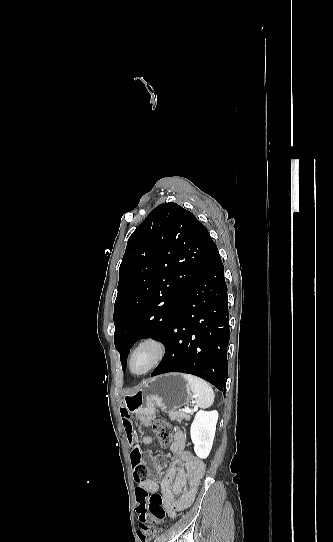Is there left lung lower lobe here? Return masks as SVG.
Returning a JSON list of instances; mask_svg holds the SVG:
<instances>
[{"mask_svg": "<svg viewBox=\"0 0 333 542\" xmlns=\"http://www.w3.org/2000/svg\"><path fill=\"white\" fill-rule=\"evenodd\" d=\"M229 337L224 266L213 243L174 315L163 341L164 358L151 376L193 374L225 393Z\"/></svg>", "mask_w": 333, "mask_h": 542, "instance_id": "0a47b994", "label": "left lung lower lobe"}]
</instances>
